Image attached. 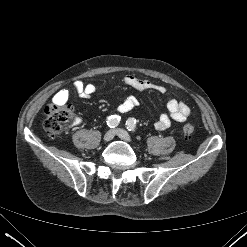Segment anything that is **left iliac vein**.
Instances as JSON below:
<instances>
[{
	"mask_svg": "<svg viewBox=\"0 0 247 247\" xmlns=\"http://www.w3.org/2000/svg\"><path fill=\"white\" fill-rule=\"evenodd\" d=\"M115 133L118 135L119 138H121L122 140H124L128 143H130L132 141L129 134L123 129H117V130H115Z\"/></svg>",
	"mask_w": 247,
	"mask_h": 247,
	"instance_id": "left-iliac-vein-1",
	"label": "left iliac vein"
}]
</instances>
